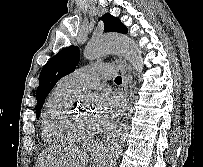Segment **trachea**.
<instances>
[{"mask_svg":"<svg viewBox=\"0 0 203 167\" xmlns=\"http://www.w3.org/2000/svg\"><path fill=\"white\" fill-rule=\"evenodd\" d=\"M115 82H116V83H121V82H122L121 76H117V77L115 78Z\"/></svg>","mask_w":203,"mask_h":167,"instance_id":"obj_1","label":"trachea"}]
</instances>
